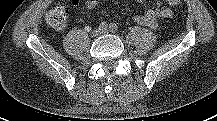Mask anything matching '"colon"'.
<instances>
[{"label":"colon","mask_w":217,"mask_h":121,"mask_svg":"<svg viewBox=\"0 0 217 121\" xmlns=\"http://www.w3.org/2000/svg\"><path fill=\"white\" fill-rule=\"evenodd\" d=\"M172 6H177L181 0H165ZM47 23L55 29H63L67 25L68 12L64 6H56L51 9L46 15Z\"/></svg>","instance_id":"colon-1"}]
</instances>
